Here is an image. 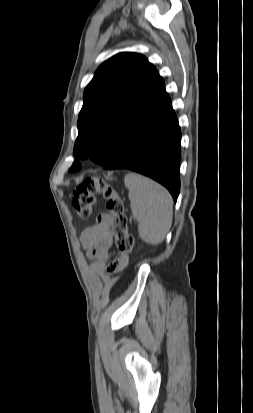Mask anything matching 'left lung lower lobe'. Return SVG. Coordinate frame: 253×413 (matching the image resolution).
I'll list each match as a JSON object with an SVG mask.
<instances>
[{"mask_svg":"<svg viewBox=\"0 0 253 413\" xmlns=\"http://www.w3.org/2000/svg\"><path fill=\"white\" fill-rule=\"evenodd\" d=\"M117 155L106 170L129 169L146 175L172 194L180 192L181 130L164 81L142 111L121 126Z\"/></svg>","mask_w":253,"mask_h":413,"instance_id":"left-lung-lower-lobe-1","label":"left lung lower lobe"}]
</instances>
